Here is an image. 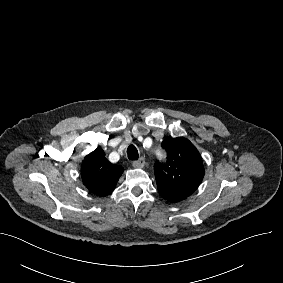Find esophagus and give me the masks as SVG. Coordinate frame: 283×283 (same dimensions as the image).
Returning a JSON list of instances; mask_svg holds the SVG:
<instances>
[{"mask_svg":"<svg viewBox=\"0 0 283 283\" xmlns=\"http://www.w3.org/2000/svg\"><path fill=\"white\" fill-rule=\"evenodd\" d=\"M145 164H146V161H145L144 157H141L137 161H134L132 163L134 168H143L145 166Z\"/></svg>","mask_w":283,"mask_h":283,"instance_id":"obj_1","label":"esophagus"}]
</instances>
